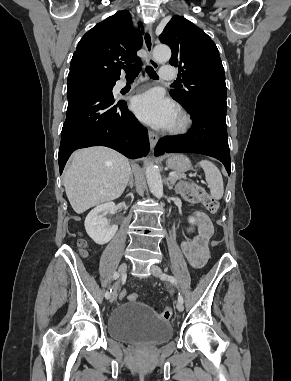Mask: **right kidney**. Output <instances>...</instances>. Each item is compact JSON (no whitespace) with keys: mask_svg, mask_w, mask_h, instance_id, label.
Wrapping results in <instances>:
<instances>
[{"mask_svg":"<svg viewBox=\"0 0 291 381\" xmlns=\"http://www.w3.org/2000/svg\"><path fill=\"white\" fill-rule=\"evenodd\" d=\"M115 210L116 205L113 202H107L98 205L87 215L84 223L85 229L95 243L103 245L114 237L118 230V225L114 224L110 226L106 215L114 214Z\"/></svg>","mask_w":291,"mask_h":381,"instance_id":"ca27d5eb","label":"right kidney"}]
</instances>
